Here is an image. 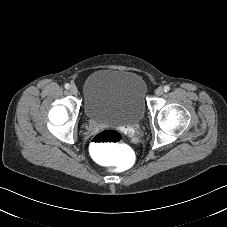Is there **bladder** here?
<instances>
[{
    "label": "bladder",
    "mask_w": 227,
    "mask_h": 227,
    "mask_svg": "<svg viewBox=\"0 0 227 227\" xmlns=\"http://www.w3.org/2000/svg\"><path fill=\"white\" fill-rule=\"evenodd\" d=\"M146 85L132 71L100 69L84 81L87 119L110 124H137L145 114Z\"/></svg>",
    "instance_id": "31cf9c89"
}]
</instances>
